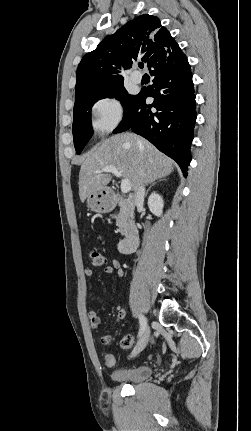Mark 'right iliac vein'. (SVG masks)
<instances>
[{
  "label": "right iliac vein",
  "mask_w": 251,
  "mask_h": 431,
  "mask_svg": "<svg viewBox=\"0 0 251 431\" xmlns=\"http://www.w3.org/2000/svg\"><path fill=\"white\" fill-rule=\"evenodd\" d=\"M149 337H150V330L148 327L145 328V330L143 331L136 347L134 348V350L131 353V357L136 356L137 354H139L147 345L148 341H149Z\"/></svg>",
  "instance_id": "63e3f726"
}]
</instances>
